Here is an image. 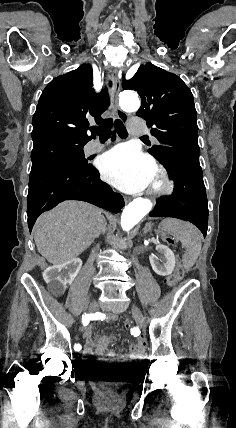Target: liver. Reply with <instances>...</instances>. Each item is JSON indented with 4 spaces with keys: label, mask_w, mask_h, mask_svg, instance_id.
Listing matches in <instances>:
<instances>
[{
    "label": "liver",
    "mask_w": 236,
    "mask_h": 428,
    "mask_svg": "<svg viewBox=\"0 0 236 428\" xmlns=\"http://www.w3.org/2000/svg\"><path fill=\"white\" fill-rule=\"evenodd\" d=\"M107 222L86 202H62L39 216L33 230L36 248L50 264H65L93 244Z\"/></svg>",
    "instance_id": "obj_1"
}]
</instances>
